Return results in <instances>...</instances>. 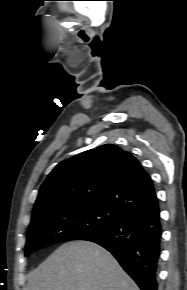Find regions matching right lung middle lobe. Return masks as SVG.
I'll use <instances>...</instances> for the list:
<instances>
[{
  "label": "right lung middle lobe",
  "mask_w": 187,
  "mask_h": 290,
  "mask_svg": "<svg viewBox=\"0 0 187 290\" xmlns=\"http://www.w3.org/2000/svg\"><path fill=\"white\" fill-rule=\"evenodd\" d=\"M123 217L117 210L104 205L84 206L49 214L30 224L25 256L58 242L85 239L117 225Z\"/></svg>",
  "instance_id": "1"
}]
</instances>
